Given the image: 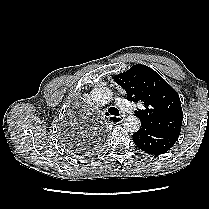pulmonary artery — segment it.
Listing matches in <instances>:
<instances>
[{
    "instance_id": "obj_1",
    "label": "pulmonary artery",
    "mask_w": 209,
    "mask_h": 209,
    "mask_svg": "<svg viewBox=\"0 0 209 209\" xmlns=\"http://www.w3.org/2000/svg\"><path fill=\"white\" fill-rule=\"evenodd\" d=\"M117 104L120 106L122 110H125V111L131 110V105L124 99H118Z\"/></svg>"
}]
</instances>
